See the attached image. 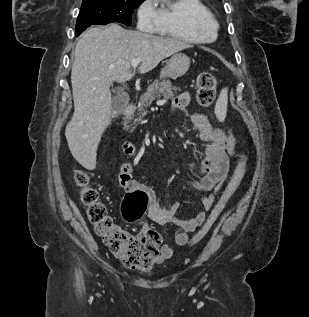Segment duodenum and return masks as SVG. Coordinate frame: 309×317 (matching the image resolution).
<instances>
[{"label": "duodenum", "instance_id": "duodenum-1", "mask_svg": "<svg viewBox=\"0 0 309 317\" xmlns=\"http://www.w3.org/2000/svg\"><path fill=\"white\" fill-rule=\"evenodd\" d=\"M133 113H134V106L133 105H127L122 111V115L125 119L131 118ZM124 149H125L126 153H129V154L134 152L133 146L129 143H125Z\"/></svg>", "mask_w": 309, "mask_h": 317}]
</instances>
